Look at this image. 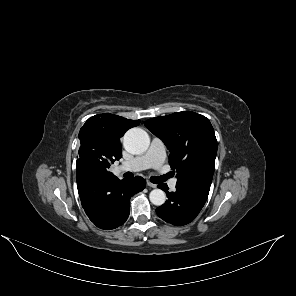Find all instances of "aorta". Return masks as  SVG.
<instances>
[{"label": "aorta", "instance_id": "762f6f07", "mask_svg": "<svg viewBox=\"0 0 296 296\" xmlns=\"http://www.w3.org/2000/svg\"><path fill=\"white\" fill-rule=\"evenodd\" d=\"M124 148L132 154L145 152L150 144V138L146 131L141 128L129 129L123 138ZM150 202L156 206H161L166 201V194L161 189H154L149 194Z\"/></svg>", "mask_w": 296, "mask_h": 296}]
</instances>
